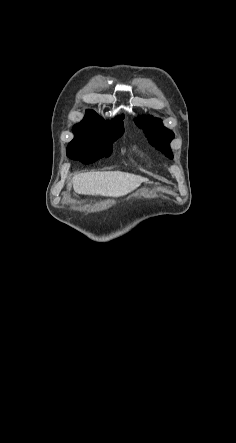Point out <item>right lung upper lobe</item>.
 Returning <instances> with one entry per match:
<instances>
[{"label": "right lung upper lobe", "mask_w": 236, "mask_h": 443, "mask_svg": "<svg viewBox=\"0 0 236 443\" xmlns=\"http://www.w3.org/2000/svg\"><path fill=\"white\" fill-rule=\"evenodd\" d=\"M123 118H124L123 116H121V117H117L113 122H123V121H122ZM91 119H100V120H103V119H102L100 116H98V115L96 114V112H94L93 110H87V112H86V116H85L84 120H91Z\"/></svg>", "instance_id": "right-lung-upper-lobe-1"}]
</instances>
